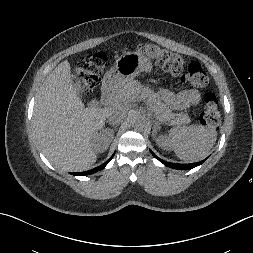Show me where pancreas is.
<instances>
[{"instance_id":"1","label":"pancreas","mask_w":253,"mask_h":253,"mask_svg":"<svg viewBox=\"0 0 253 253\" xmlns=\"http://www.w3.org/2000/svg\"><path fill=\"white\" fill-rule=\"evenodd\" d=\"M138 94L146 99L148 106L161 122L171 125H186L191 122L187 113H173L160 101L157 93L137 81H129L117 87L113 92V101L117 104H127Z\"/></svg>"}]
</instances>
